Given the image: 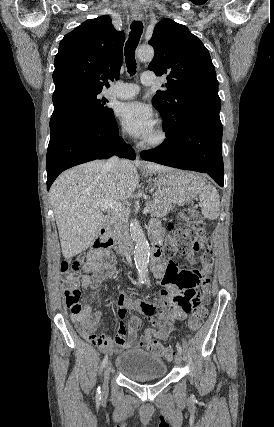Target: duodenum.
I'll return each mask as SVG.
<instances>
[{
    "mask_svg": "<svg viewBox=\"0 0 274 427\" xmlns=\"http://www.w3.org/2000/svg\"><path fill=\"white\" fill-rule=\"evenodd\" d=\"M110 222V218L106 220L105 225L100 229L98 238L95 242L96 248H105L113 245V240L108 234V225ZM160 233L157 232L154 235H152L153 243H152V257L153 260H157L160 258L162 254V247L159 240ZM116 252L120 256H129L133 252V245L130 243H119L116 246Z\"/></svg>",
    "mask_w": 274,
    "mask_h": 427,
    "instance_id": "obj_1",
    "label": "duodenum"
}]
</instances>
